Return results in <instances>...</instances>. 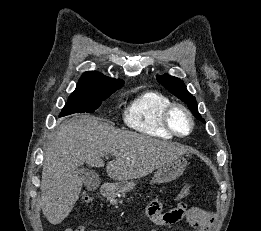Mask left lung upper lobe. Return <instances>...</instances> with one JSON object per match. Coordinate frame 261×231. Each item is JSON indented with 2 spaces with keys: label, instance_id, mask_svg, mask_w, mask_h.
<instances>
[{
  "label": "left lung upper lobe",
  "instance_id": "5c2ea615",
  "mask_svg": "<svg viewBox=\"0 0 261 231\" xmlns=\"http://www.w3.org/2000/svg\"><path fill=\"white\" fill-rule=\"evenodd\" d=\"M157 81L163 85L169 92L175 95L177 98L185 102L193 115L202 122L205 123V120L198 113L197 102L195 97H193L186 89V86L179 78H175L168 74L163 76H157Z\"/></svg>",
  "mask_w": 261,
  "mask_h": 231
}]
</instances>
